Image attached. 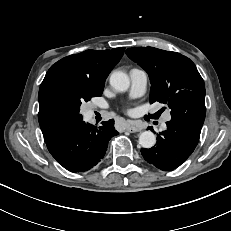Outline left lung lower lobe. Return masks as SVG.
Returning <instances> with one entry per match:
<instances>
[{"label":"left lung lower lobe","mask_w":231,"mask_h":231,"mask_svg":"<svg viewBox=\"0 0 231 231\" xmlns=\"http://www.w3.org/2000/svg\"><path fill=\"white\" fill-rule=\"evenodd\" d=\"M167 130L157 134V143L141 149L144 159L163 171L176 169L192 154L198 144L200 131L187 124L168 121ZM148 129L152 130L151 127Z\"/></svg>","instance_id":"obj_1"}]
</instances>
